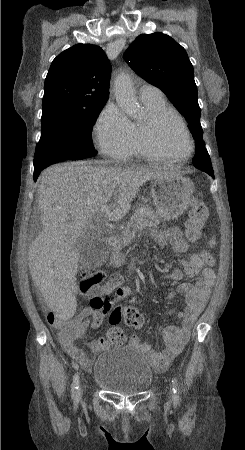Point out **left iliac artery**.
<instances>
[{"mask_svg":"<svg viewBox=\"0 0 245 450\" xmlns=\"http://www.w3.org/2000/svg\"><path fill=\"white\" fill-rule=\"evenodd\" d=\"M172 391H173V401L174 403L179 402V385L177 383L176 378L172 379Z\"/></svg>","mask_w":245,"mask_h":450,"instance_id":"obj_1","label":"left iliac artery"}]
</instances>
